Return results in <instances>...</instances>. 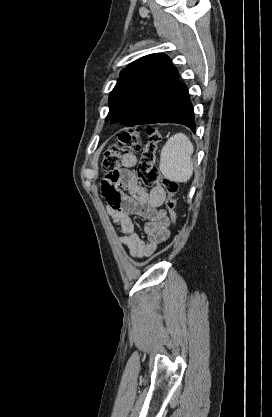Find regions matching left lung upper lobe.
<instances>
[{
    "mask_svg": "<svg viewBox=\"0 0 272 417\" xmlns=\"http://www.w3.org/2000/svg\"><path fill=\"white\" fill-rule=\"evenodd\" d=\"M178 81V71L168 56L156 53L139 58L121 71L109 96L106 120L127 127L141 124Z\"/></svg>",
    "mask_w": 272,
    "mask_h": 417,
    "instance_id": "5c2ea615",
    "label": "left lung upper lobe"
}]
</instances>
